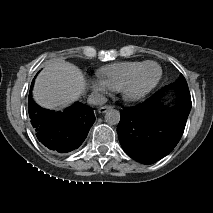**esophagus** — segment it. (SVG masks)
<instances>
[{
	"label": "esophagus",
	"instance_id": "34e87169",
	"mask_svg": "<svg viewBox=\"0 0 213 213\" xmlns=\"http://www.w3.org/2000/svg\"><path fill=\"white\" fill-rule=\"evenodd\" d=\"M111 108V106H102V107H100L99 109H98V112L99 113H105L108 109H110Z\"/></svg>",
	"mask_w": 213,
	"mask_h": 213
}]
</instances>
